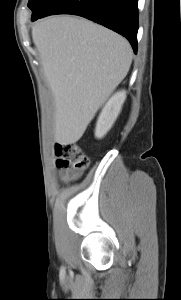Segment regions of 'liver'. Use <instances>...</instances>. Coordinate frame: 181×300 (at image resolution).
I'll return each mask as SVG.
<instances>
[{
	"label": "liver",
	"mask_w": 181,
	"mask_h": 300,
	"mask_svg": "<svg viewBox=\"0 0 181 300\" xmlns=\"http://www.w3.org/2000/svg\"><path fill=\"white\" fill-rule=\"evenodd\" d=\"M32 39L54 96V140L76 143L126 77L132 48L121 35L71 16L40 20L32 27Z\"/></svg>",
	"instance_id": "obj_1"
}]
</instances>
